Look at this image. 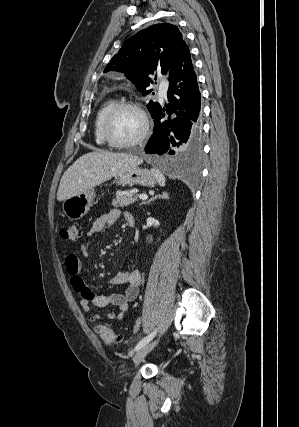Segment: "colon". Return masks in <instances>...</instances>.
Here are the masks:
<instances>
[{
  "instance_id": "obj_1",
  "label": "colon",
  "mask_w": 299,
  "mask_h": 427,
  "mask_svg": "<svg viewBox=\"0 0 299 427\" xmlns=\"http://www.w3.org/2000/svg\"><path fill=\"white\" fill-rule=\"evenodd\" d=\"M60 236L66 240L77 242L80 239V229L77 224H68L60 229ZM95 331L107 345L116 346L120 343V337L114 331L102 323L95 324Z\"/></svg>"
}]
</instances>
